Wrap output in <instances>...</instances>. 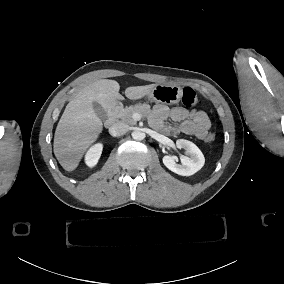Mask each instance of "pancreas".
Listing matches in <instances>:
<instances>
[{"label":"pancreas","instance_id":"cf45deb5","mask_svg":"<svg viewBox=\"0 0 284 284\" xmlns=\"http://www.w3.org/2000/svg\"><path fill=\"white\" fill-rule=\"evenodd\" d=\"M150 112H151L150 105L138 104L120 110L118 113V117L126 124L135 125L136 121L132 118V115L134 113H139L141 117H146L150 114Z\"/></svg>","mask_w":284,"mask_h":284}]
</instances>
